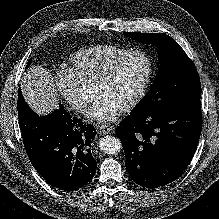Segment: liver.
Masks as SVG:
<instances>
[{"mask_svg":"<svg viewBox=\"0 0 219 219\" xmlns=\"http://www.w3.org/2000/svg\"><path fill=\"white\" fill-rule=\"evenodd\" d=\"M20 85L26 103L40 116L58 108V92L47 69L32 66L21 78Z\"/></svg>","mask_w":219,"mask_h":219,"instance_id":"6515ba94","label":"liver"}]
</instances>
